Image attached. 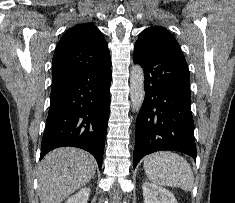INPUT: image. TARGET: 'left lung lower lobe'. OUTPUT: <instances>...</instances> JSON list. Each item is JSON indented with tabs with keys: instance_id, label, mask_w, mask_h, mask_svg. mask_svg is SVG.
Wrapping results in <instances>:
<instances>
[{
	"instance_id": "obj_1",
	"label": "left lung lower lobe",
	"mask_w": 235,
	"mask_h": 203,
	"mask_svg": "<svg viewBox=\"0 0 235 203\" xmlns=\"http://www.w3.org/2000/svg\"><path fill=\"white\" fill-rule=\"evenodd\" d=\"M133 60L144 70L146 96L136 121L134 168L145 155L174 150L197 156L186 61L135 44Z\"/></svg>"
}]
</instances>
